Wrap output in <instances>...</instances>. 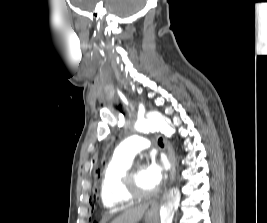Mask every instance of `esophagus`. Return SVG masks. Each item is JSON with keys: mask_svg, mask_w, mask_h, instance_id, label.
Returning <instances> with one entry per match:
<instances>
[{"mask_svg": "<svg viewBox=\"0 0 267 223\" xmlns=\"http://www.w3.org/2000/svg\"><path fill=\"white\" fill-rule=\"evenodd\" d=\"M164 144L165 147L167 149V153H168V159L171 163V170H170V179L173 180L176 174V157H175V152L173 149V146L171 145V143L164 138Z\"/></svg>", "mask_w": 267, "mask_h": 223, "instance_id": "esophagus-1", "label": "esophagus"}]
</instances>
